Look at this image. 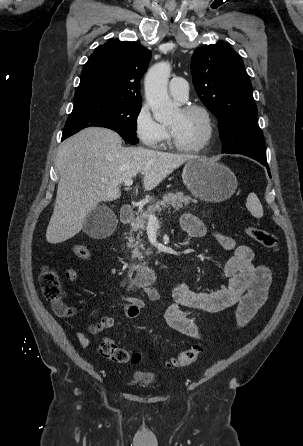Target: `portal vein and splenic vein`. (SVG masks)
I'll list each match as a JSON object with an SVG mask.
<instances>
[{
  "mask_svg": "<svg viewBox=\"0 0 303 446\" xmlns=\"http://www.w3.org/2000/svg\"><path fill=\"white\" fill-rule=\"evenodd\" d=\"M132 184H133V180L132 179L124 181V185L125 186H131ZM148 222H149V224H158V219H157V217L154 214H150L148 216Z\"/></svg>",
  "mask_w": 303,
  "mask_h": 446,
  "instance_id": "18ae733b",
  "label": "portal vein and splenic vein"
}]
</instances>
